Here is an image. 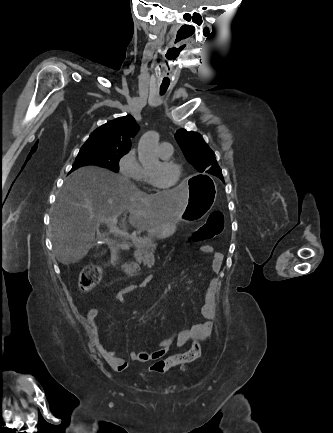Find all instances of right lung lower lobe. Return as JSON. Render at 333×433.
I'll return each instance as SVG.
<instances>
[{
    "mask_svg": "<svg viewBox=\"0 0 333 433\" xmlns=\"http://www.w3.org/2000/svg\"><path fill=\"white\" fill-rule=\"evenodd\" d=\"M75 169H77V168H73V167H72V170H71V172H72L73 170H75Z\"/></svg>",
    "mask_w": 333,
    "mask_h": 433,
    "instance_id": "98d812e1",
    "label": "right lung lower lobe"
}]
</instances>
